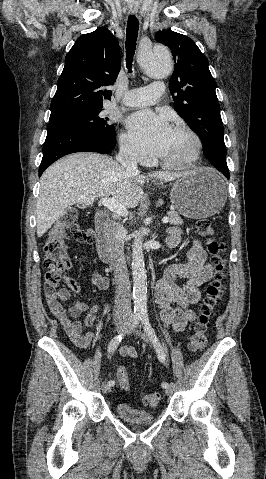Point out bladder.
Segmentation results:
<instances>
[{
	"instance_id": "1",
	"label": "bladder",
	"mask_w": 266,
	"mask_h": 479,
	"mask_svg": "<svg viewBox=\"0 0 266 479\" xmlns=\"http://www.w3.org/2000/svg\"><path fill=\"white\" fill-rule=\"evenodd\" d=\"M116 411L118 416L128 423L143 424L155 419V414L152 411L136 408L127 402L117 403Z\"/></svg>"
}]
</instances>
